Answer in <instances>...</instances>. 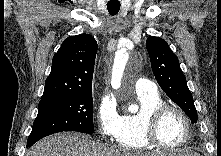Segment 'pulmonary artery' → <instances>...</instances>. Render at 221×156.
Returning a JSON list of instances; mask_svg holds the SVG:
<instances>
[{
  "mask_svg": "<svg viewBox=\"0 0 221 156\" xmlns=\"http://www.w3.org/2000/svg\"><path fill=\"white\" fill-rule=\"evenodd\" d=\"M136 93H154L157 92L156 85L145 78H139L135 84Z\"/></svg>",
  "mask_w": 221,
  "mask_h": 156,
  "instance_id": "obj_1",
  "label": "pulmonary artery"
}]
</instances>
